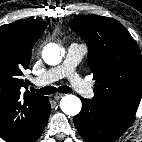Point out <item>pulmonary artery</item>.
Wrapping results in <instances>:
<instances>
[{"label":"pulmonary artery","mask_w":142,"mask_h":142,"mask_svg":"<svg viewBox=\"0 0 142 142\" xmlns=\"http://www.w3.org/2000/svg\"><path fill=\"white\" fill-rule=\"evenodd\" d=\"M87 50V46L84 44L71 43L64 62L48 69L45 73L35 78L34 83L42 86L67 78L76 92L85 98H91L93 96L92 87L76 72V66L87 53Z\"/></svg>","instance_id":"e3ab8cb5"}]
</instances>
